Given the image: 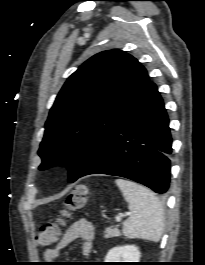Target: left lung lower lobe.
<instances>
[{
    "label": "left lung lower lobe",
    "mask_w": 205,
    "mask_h": 265,
    "mask_svg": "<svg viewBox=\"0 0 205 265\" xmlns=\"http://www.w3.org/2000/svg\"><path fill=\"white\" fill-rule=\"evenodd\" d=\"M171 145L163 100L149 81L140 99L76 180L96 173L121 176L164 194L170 183Z\"/></svg>",
    "instance_id": "obj_1"
}]
</instances>
